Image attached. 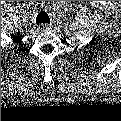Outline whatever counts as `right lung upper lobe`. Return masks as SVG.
I'll use <instances>...</instances> for the list:
<instances>
[{
  "label": "right lung upper lobe",
  "mask_w": 121,
  "mask_h": 121,
  "mask_svg": "<svg viewBox=\"0 0 121 121\" xmlns=\"http://www.w3.org/2000/svg\"><path fill=\"white\" fill-rule=\"evenodd\" d=\"M13 40H14V41H18L19 38H18V37H14Z\"/></svg>",
  "instance_id": "1"
}]
</instances>
